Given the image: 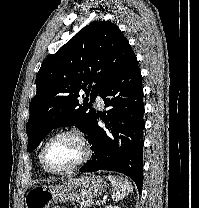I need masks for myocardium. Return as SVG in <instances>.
Returning <instances> with one entry per match:
<instances>
[{
	"mask_svg": "<svg viewBox=\"0 0 199 208\" xmlns=\"http://www.w3.org/2000/svg\"><path fill=\"white\" fill-rule=\"evenodd\" d=\"M62 136H72L73 138H75L82 146L83 154H82V157L80 158V160L77 161L72 166L65 168V169H55V168L51 167L50 164L48 163L46 151H47L49 144L53 140H55L56 138L62 137ZM91 154H92L91 146H90L87 138L85 137V135L82 132H80L79 130H76V129H65V130H61V131L53 134L52 136H50L47 139V141L44 143L42 150H41V160H42L44 167L46 168V170L48 172L53 173V174L63 175V174L71 173V172L77 170L78 168L82 167L90 159Z\"/></svg>",
	"mask_w": 199,
	"mask_h": 208,
	"instance_id": "f54148a6",
	"label": "myocardium"
}]
</instances>
